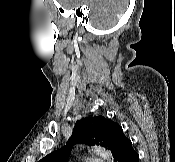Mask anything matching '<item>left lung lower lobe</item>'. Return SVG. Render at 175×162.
Here are the masks:
<instances>
[{
    "instance_id": "obj_1",
    "label": "left lung lower lobe",
    "mask_w": 175,
    "mask_h": 162,
    "mask_svg": "<svg viewBox=\"0 0 175 162\" xmlns=\"http://www.w3.org/2000/svg\"><path fill=\"white\" fill-rule=\"evenodd\" d=\"M114 162H139V155L133 149L130 139L123 135L113 152Z\"/></svg>"
}]
</instances>
